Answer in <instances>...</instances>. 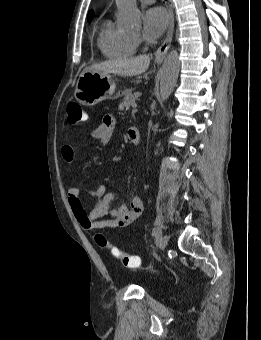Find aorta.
I'll use <instances>...</instances> for the list:
<instances>
[{"label": "aorta", "instance_id": "obj_1", "mask_svg": "<svg viewBox=\"0 0 261 340\" xmlns=\"http://www.w3.org/2000/svg\"><path fill=\"white\" fill-rule=\"evenodd\" d=\"M118 21L127 28L140 25V11L136 0H116ZM180 70V60L177 50H172L166 56L160 72V103L166 101L171 95Z\"/></svg>", "mask_w": 261, "mask_h": 340}]
</instances>
